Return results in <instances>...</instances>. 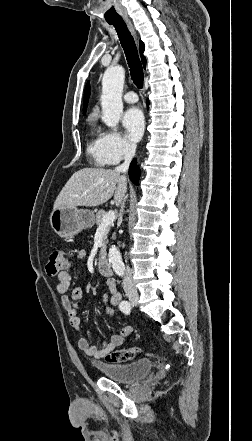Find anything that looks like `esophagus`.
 <instances>
[{
  "mask_svg": "<svg viewBox=\"0 0 252 441\" xmlns=\"http://www.w3.org/2000/svg\"><path fill=\"white\" fill-rule=\"evenodd\" d=\"M125 21H126L128 27H129V29L131 30V32H132L133 34H135L134 28H133L132 23H131V21L129 20V18H125Z\"/></svg>",
  "mask_w": 252,
  "mask_h": 441,
  "instance_id": "esophagus-1",
  "label": "esophagus"
}]
</instances>
